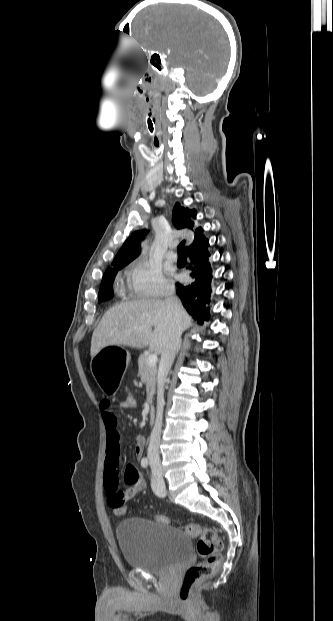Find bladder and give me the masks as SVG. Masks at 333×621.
<instances>
[{
    "mask_svg": "<svg viewBox=\"0 0 333 621\" xmlns=\"http://www.w3.org/2000/svg\"><path fill=\"white\" fill-rule=\"evenodd\" d=\"M116 538L125 562L150 574H167L190 553L183 531L155 519H125L116 527Z\"/></svg>",
    "mask_w": 333,
    "mask_h": 621,
    "instance_id": "31cf9c89",
    "label": "bladder"
}]
</instances>
